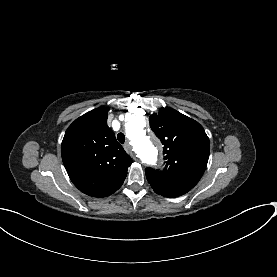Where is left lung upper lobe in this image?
<instances>
[{"label":"left lung upper lobe","instance_id":"left-lung-upper-lobe-1","mask_svg":"<svg viewBox=\"0 0 277 277\" xmlns=\"http://www.w3.org/2000/svg\"><path fill=\"white\" fill-rule=\"evenodd\" d=\"M149 121L164 145L167 162L163 171L147 168V180L157 194L181 196L198 183L206 169L209 138L198 122L168 107L152 114Z\"/></svg>","mask_w":277,"mask_h":277}]
</instances>
